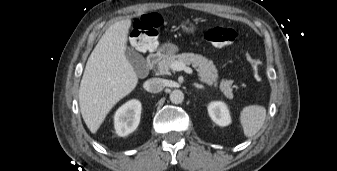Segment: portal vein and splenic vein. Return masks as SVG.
<instances>
[{
	"label": "portal vein and splenic vein",
	"mask_w": 337,
	"mask_h": 171,
	"mask_svg": "<svg viewBox=\"0 0 337 171\" xmlns=\"http://www.w3.org/2000/svg\"><path fill=\"white\" fill-rule=\"evenodd\" d=\"M170 68L174 71H182L184 70L188 74H192L193 70L190 67H186L182 62H173L170 65Z\"/></svg>",
	"instance_id": "obj_1"
}]
</instances>
